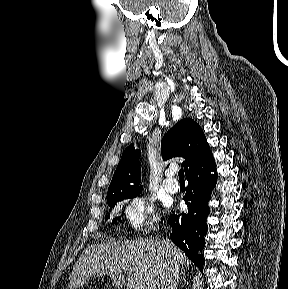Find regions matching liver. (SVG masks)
<instances>
[{
  "label": "liver",
  "instance_id": "1",
  "mask_svg": "<svg viewBox=\"0 0 288 289\" xmlns=\"http://www.w3.org/2000/svg\"><path fill=\"white\" fill-rule=\"evenodd\" d=\"M170 246L179 264L185 254L173 243ZM165 255L160 241L138 240L127 242L108 241L86 248L70 274L69 289L87 283L95 274H107L113 284L122 287L127 273V289H159L164 272Z\"/></svg>",
  "mask_w": 288,
  "mask_h": 289
}]
</instances>
